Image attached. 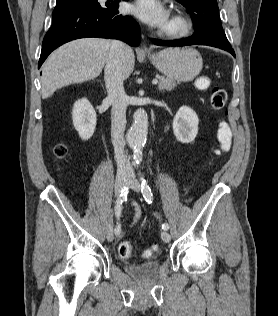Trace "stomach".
I'll list each match as a JSON object with an SVG mask.
<instances>
[{
	"label": "stomach",
	"instance_id": "stomach-1",
	"mask_svg": "<svg viewBox=\"0 0 278 316\" xmlns=\"http://www.w3.org/2000/svg\"><path fill=\"white\" fill-rule=\"evenodd\" d=\"M149 59L166 77L181 82L192 81L203 66L201 55L191 48H167L150 55Z\"/></svg>",
	"mask_w": 278,
	"mask_h": 316
}]
</instances>
